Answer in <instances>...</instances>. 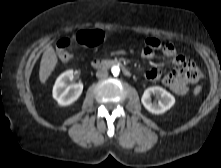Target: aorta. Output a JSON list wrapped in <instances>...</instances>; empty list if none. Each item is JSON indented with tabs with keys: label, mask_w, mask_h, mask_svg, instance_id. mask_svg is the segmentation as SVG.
I'll list each match as a JSON object with an SVG mask.
<instances>
[{
	"label": "aorta",
	"mask_w": 221,
	"mask_h": 168,
	"mask_svg": "<svg viewBox=\"0 0 221 168\" xmlns=\"http://www.w3.org/2000/svg\"><path fill=\"white\" fill-rule=\"evenodd\" d=\"M111 72H112V74H113L114 76L119 75V73H120V67L117 66V65L112 66Z\"/></svg>",
	"instance_id": "1"
}]
</instances>
